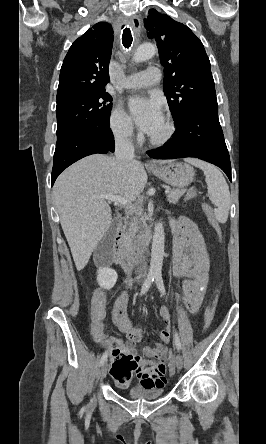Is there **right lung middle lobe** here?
Returning a JSON list of instances; mask_svg holds the SVG:
<instances>
[{
  "label": "right lung middle lobe",
  "instance_id": "dd1d6c3e",
  "mask_svg": "<svg viewBox=\"0 0 266 444\" xmlns=\"http://www.w3.org/2000/svg\"><path fill=\"white\" fill-rule=\"evenodd\" d=\"M112 97L104 89L78 92L57 99V143L81 131L110 125Z\"/></svg>",
  "mask_w": 266,
  "mask_h": 444
}]
</instances>
